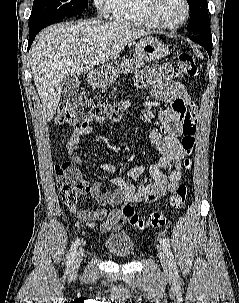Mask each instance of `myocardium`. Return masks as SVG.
<instances>
[{
    "instance_id": "myocardium-1",
    "label": "myocardium",
    "mask_w": 239,
    "mask_h": 303,
    "mask_svg": "<svg viewBox=\"0 0 239 303\" xmlns=\"http://www.w3.org/2000/svg\"><path fill=\"white\" fill-rule=\"evenodd\" d=\"M159 0H144L143 9L145 13L147 14L149 20L151 23H153L156 27L162 28V29H168V30H175L187 23V21L190 18L191 14V7L188 0H183V3L185 5V17L183 20L177 24H166L163 21H161L157 15V5Z\"/></svg>"
}]
</instances>
